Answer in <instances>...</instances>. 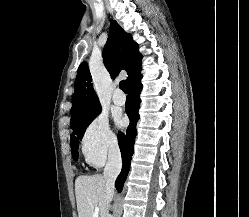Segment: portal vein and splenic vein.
<instances>
[{
  "mask_svg": "<svg viewBox=\"0 0 249 217\" xmlns=\"http://www.w3.org/2000/svg\"><path fill=\"white\" fill-rule=\"evenodd\" d=\"M99 207H95V212L93 217H98Z\"/></svg>",
  "mask_w": 249,
  "mask_h": 217,
  "instance_id": "18ae733b",
  "label": "portal vein and splenic vein"
}]
</instances>
